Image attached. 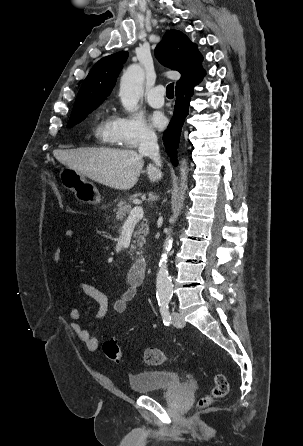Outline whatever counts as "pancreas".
Returning <instances> with one entry per match:
<instances>
[{
    "mask_svg": "<svg viewBox=\"0 0 303 446\" xmlns=\"http://www.w3.org/2000/svg\"><path fill=\"white\" fill-rule=\"evenodd\" d=\"M132 207L130 204L126 203L125 201H120L117 204V208L114 209L116 212V220L119 222H124L126 219V216L131 212ZM148 226L147 223H141L138 226L137 231L134 233L135 240L133 241V244L131 245L130 252H134L137 247L142 248L143 244L146 242L145 236L148 234ZM137 255L140 254V252H136Z\"/></svg>",
    "mask_w": 303,
    "mask_h": 446,
    "instance_id": "obj_1",
    "label": "pancreas"
}]
</instances>
